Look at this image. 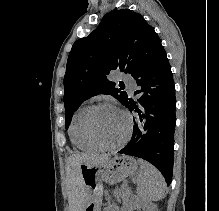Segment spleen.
<instances>
[{
	"instance_id": "obj_1",
	"label": "spleen",
	"mask_w": 219,
	"mask_h": 211,
	"mask_svg": "<svg viewBox=\"0 0 219 211\" xmlns=\"http://www.w3.org/2000/svg\"><path fill=\"white\" fill-rule=\"evenodd\" d=\"M138 161L140 169L136 183H138L137 193L140 201H145V203L159 201L164 197L166 189V181L162 173L148 161H143V159H138Z\"/></svg>"
}]
</instances>
